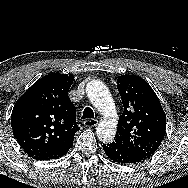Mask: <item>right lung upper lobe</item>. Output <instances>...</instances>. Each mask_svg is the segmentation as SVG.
Returning a JSON list of instances; mask_svg holds the SVG:
<instances>
[{
	"label": "right lung upper lobe",
	"instance_id": "cb5924a9",
	"mask_svg": "<svg viewBox=\"0 0 188 188\" xmlns=\"http://www.w3.org/2000/svg\"><path fill=\"white\" fill-rule=\"evenodd\" d=\"M74 76L51 73L35 82L15 103L11 126L21 148L32 158L73 144L80 129L68 97Z\"/></svg>",
	"mask_w": 188,
	"mask_h": 188
}]
</instances>
